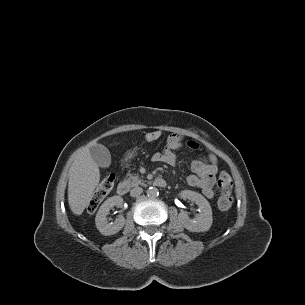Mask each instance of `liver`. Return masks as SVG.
Listing matches in <instances>:
<instances>
[{"mask_svg":"<svg viewBox=\"0 0 305 305\" xmlns=\"http://www.w3.org/2000/svg\"><path fill=\"white\" fill-rule=\"evenodd\" d=\"M92 141L76 152V157L68 172V203L75 215H81L92 199L100 180V170L90 154Z\"/></svg>","mask_w":305,"mask_h":305,"instance_id":"1","label":"liver"}]
</instances>
